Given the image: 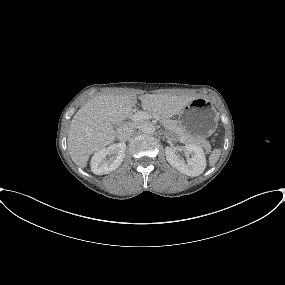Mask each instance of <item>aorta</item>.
Masks as SVG:
<instances>
[{
  "label": "aorta",
  "instance_id": "1",
  "mask_svg": "<svg viewBox=\"0 0 285 285\" xmlns=\"http://www.w3.org/2000/svg\"><path fill=\"white\" fill-rule=\"evenodd\" d=\"M141 130L145 134H152L154 133L155 128L151 123H145L142 125Z\"/></svg>",
  "mask_w": 285,
  "mask_h": 285
}]
</instances>
